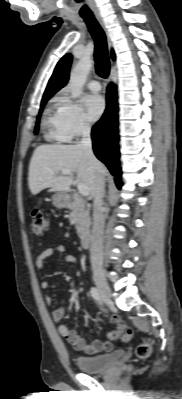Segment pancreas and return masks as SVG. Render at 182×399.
Wrapping results in <instances>:
<instances>
[{
    "instance_id": "pancreas-1",
    "label": "pancreas",
    "mask_w": 182,
    "mask_h": 399,
    "mask_svg": "<svg viewBox=\"0 0 182 399\" xmlns=\"http://www.w3.org/2000/svg\"><path fill=\"white\" fill-rule=\"evenodd\" d=\"M72 222L75 224L77 234L80 238H84L91 224L89 206L79 196H76L70 206Z\"/></svg>"
}]
</instances>
